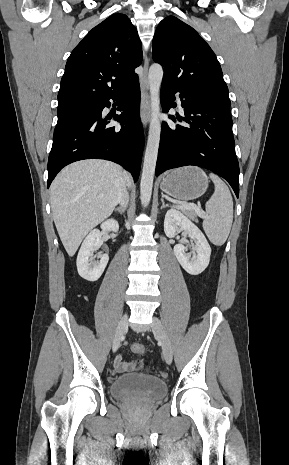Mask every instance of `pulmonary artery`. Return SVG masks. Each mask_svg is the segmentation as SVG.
<instances>
[{
    "mask_svg": "<svg viewBox=\"0 0 289 465\" xmlns=\"http://www.w3.org/2000/svg\"><path fill=\"white\" fill-rule=\"evenodd\" d=\"M177 102H178V105H179L180 109L182 110V106H181L182 103H181V100H180L179 97L177 98Z\"/></svg>",
    "mask_w": 289,
    "mask_h": 465,
    "instance_id": "pulmonary-artery-1",
    "label": "pulmonary artery"
}]
</instances>
